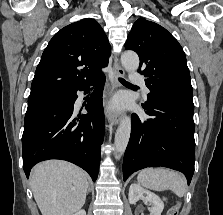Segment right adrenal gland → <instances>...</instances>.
<instances>
[{
    "label": "right adrenal gland",
    "mask_w": 223,
    "mask_h": 215,
    "mask_svg": "<svg viewBox=\"0 0 223 215\" xmlns=\"http://www.w3.org/2000/svg\"><path fill=\"white\" fill-rule=\"evenodd\" d=\"M88 191H91L90 185H88L87 193H88Z\"/></svg>",
    "instance_id": "right-adrenal-gland-1"
}]
</instances>
